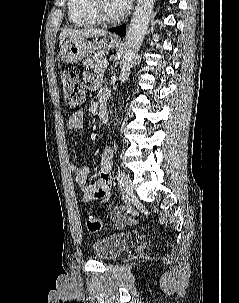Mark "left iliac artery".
I'll return each instance as SVG.
<instances>
[{"mask_svg": "<svg viewBox=\"0 0 239 303\" xmlns=\"http://www.w3.org/2000/svg\"><path fill=\"white\" fill-rule=\"evenodd\" d=\"M125 177H126L125 173L118 172V174H117V180L119 182L120 187L123 186Z\"/></svg>", "mask_w": 239, "mask_h": 303, "instance_id": "left-iliac-artery-1", "label": "left iliac artery"}]
</instances>
